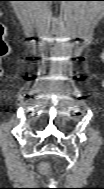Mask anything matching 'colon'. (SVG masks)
<instances>
[{
	"mask_svg": "<svg viewBox=\"0 0 104 189\" xmlns=\"http://www.w3.org/2000/svg\"><path fill=\"white\" fill-rule=\"evenodd\" d=\"M41 169H42V172L44 173L48 172V167L46 165H43Z\"/></svg>",
	"mask_w": 104,
	"mask_h": 189,
	"instance_id": "colon-1",
	"label": "colon"
}]
</instances>
